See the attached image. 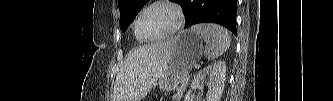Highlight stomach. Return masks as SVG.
Masks as SVG:
<instances>
[{"label":"stomach","mask_w":333,"mask_h":101,"mask_svg":"<svg viewBox=\"0 0 333 101\" xmlns=\"http://www.w3.org/2000/svg\"><path fill=\"white\" fill-rule=\"evenodd\" d=\"M168 43L167 63L158 79L160 89L167 92L177 88L203 53L202 36L190 29L180 31Z\"/></svg>","instance_id":"stomach-1"}]
</instances>
